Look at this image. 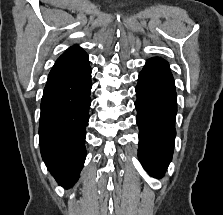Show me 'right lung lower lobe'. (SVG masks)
<instances>
[{
    "label": "right lung lower lobe",
    "instance_id": "1",
    "mask_svg": "<svg viewBox=\"0 0 223 215\" xmlns=\"http://www.w3.org/2000/svg\"><path fill=\"white\" fill-rule=\"evenodd\" d=\"M91 87L88 68L78 77L46 85L41 101V155L58 184L67 189L78 180L86 157Z\"/></svg>",
    "mask_w": 223,
    "mask_h": 215
}]
</instances>
